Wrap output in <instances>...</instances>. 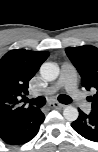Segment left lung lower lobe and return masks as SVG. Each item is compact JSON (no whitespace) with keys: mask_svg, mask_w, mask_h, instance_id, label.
I'll list each match as a JSON object with an SVG mask.
<instances>
[{"mask_svg":"<svg viewBox=\"0 0 98 152\" xmlns=\"http://www.w3.org/2000/svg\"><path fill=\"white\" fill-rule=\"evenodd\" d=\"M72 128L84 138L91 141H98V114H89L79 110V117L72 122Z\"/></svg>","mask_w":98,"mask_h":152,"instance_id":"obj_1","label":"left lung lower lobe"}]
</instances>
